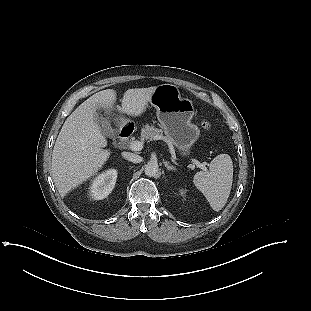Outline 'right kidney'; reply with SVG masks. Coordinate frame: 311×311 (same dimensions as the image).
I'll list each match as a JSON object with an SVG mask.
<instances>
[{
	"label": "right kidney",
	"instance_id": "ca27d5eb",
	"mask_svg": "<svg viewBox=\"0 0 311 311\" xmlns=\"http://www.w3.org/2000/svg\"><path fill=\"white\" fill-rule=\"evenodd\" d=\"M116 182V176H99L90 186V196L94 200L106 198L113 190Z\"/></svg>",
	"mask_w": 311,
	"mask_h": 311
}]
</instances>
